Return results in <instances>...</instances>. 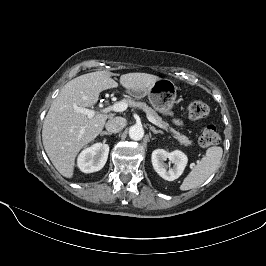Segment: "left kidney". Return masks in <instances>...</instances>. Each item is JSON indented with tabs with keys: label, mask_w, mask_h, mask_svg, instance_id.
Segmentation results:
<instances>
[{
	"label": "left kidney",
	"mask_w": 266,
	"mask_h": 266,
	"mask_svg": "<svg viewBox=\"0 0 266 266\" xmlns=\"http://www.w3.org/2000/svg\"><path fill=\"white\" fill-rule=\"evenodd\" d=\"M151 159L155 171L168 181L179 178L188 162L187 156L179 150L168 153L163 149H157L152 152ZM167 159L173 164V167L165 163Z\"/></svg>",
	"instance_id": "left-kidney-1"
}]
</instances>
